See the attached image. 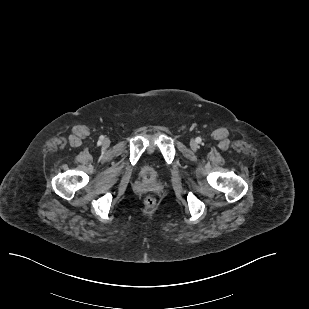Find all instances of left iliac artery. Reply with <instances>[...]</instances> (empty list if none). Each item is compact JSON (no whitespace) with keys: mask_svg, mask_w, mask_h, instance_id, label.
<instances>
[{"mask_svg":"<svg viewBox=\"0 0 309 309\" xmlns=\"http://www.w3.org/2000/svg\"><path fill=\"white\" fill-rule=\"evenodd\" d=\"M197 141L200 142V141H201V138H197Z\"/></svg>","mask_w":309,"mask_h":309,"instance_id":"left-iliac-artery-1","label":"left iliac artery"}]
</instances>
